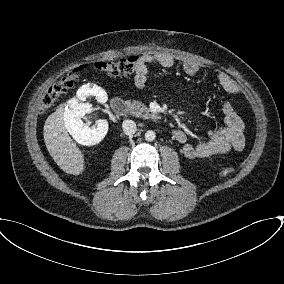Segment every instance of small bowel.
<instances>
[{
	"label": "small bowel",
	"instance_id": "c3829d8e",
	"mask_svg": "<svg viewBox=\"0 0 284 284\" xmlns=\"http://www.w3.org/2000/svg\"><path fill=\"white\" fill-rule=\"evenodd\" d=\"M156 63L164 68L172 67L175 59L172 55L164 52L145 54L139 58L134 84L137 88H143L148 79V66ZM183 71L193 76L198 73L200 66L197 62L188 60L182 64ZM220 86L229 94H237L239 88L235 81L227 74H219ZM224 126L210 130L209 138L196 144L186 143V134L181 130L174 132V138L183 144V153L189 159H208L217 155L228 153L231 150L241 151L245 146L243 135L244 124L239 114L229 101L222 104Z\"/></svg>",
	"mask_w": 284,
	"mask_h": 284
}]
</instances>
